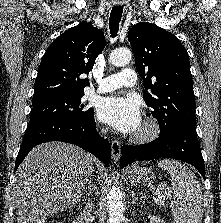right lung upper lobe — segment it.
Here are the masks:
<instances>
[{"label": "right lung upper lobe", "mask_w": 221, "mask_h": 223, "mask_svg": "<svg viewBox=\"0 0 221 223\" xmlns=\"http://www.w3.org/2000/svg\"><path fill=\"white\" fill-rule=\"evenodd\" d=\"M104 47L103 32L90 23H80L56 38L41 60L32 102L84 93L89 81L81 76L93 68Z\"/></svg>", "instance_id": "cb5924a9"}]
</instances>
